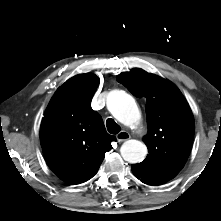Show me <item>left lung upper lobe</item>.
<instances>
[{"label": "left lung upper lobe", "instance_id": "left-lung-upper-lobe-1", "mask_svg": "<svg viewBox=\"0 0 221 221\" xmlns=\"http://www.w3.org/2000/svg\"><path fill=\"white\" fill-rule=\"evenodd\" d=\"M117 81L147 100L144 142L149 154L132 165L134 175L148 185L171 180L186 163L194 138V118L186 99L172 82L139 68L119 74Z\"/></svg>", "mask_w": 221, "mask_h": 221}]
</instances>
